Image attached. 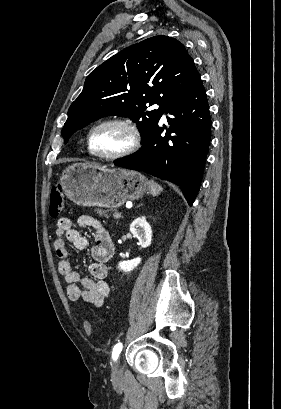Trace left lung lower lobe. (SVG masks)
Returning a JSON list of instances; mask_svg holds the SVG:
<instances>
[{
    "label": "left lung lower lobe",
    "instance_id": "0a47b994",
    "mask_svg": "<svg viewBox=\"0 0 281 409\" xmlns=\"http://www.w3.org/2000/svg\"><path fill=\"white\" fill-rule=\"evenodd\" d=\"M165 112L172 115L167 117L170 127L166 134L161 135L163 128L157 124L140 151L115 165L179 185L191 206L200 188L211 138L209 105L198 72Z\"/></svg>",
    "mask_w": 281,
    "mask_h": 409
}]
</instances>
